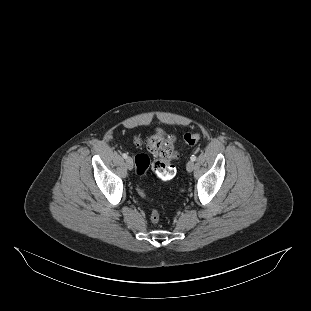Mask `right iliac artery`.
<instances>
[{
    "label": "right iliac artery",
    "mask_w": 311,
    "mask_h": 311,
    "mask_svg": "<svg viewBox=\"0 0 311 311\" xmlns=\"http://www.w3.org/2000/svg\"><path fill=\"white\" fill-rule=\"evenodd\" d=\"M122 156H123V158H125V159L128 157V155H127L126 153H123Z\"/></svg>",
    "instance_id": "obj_1"
}]
</instances>
